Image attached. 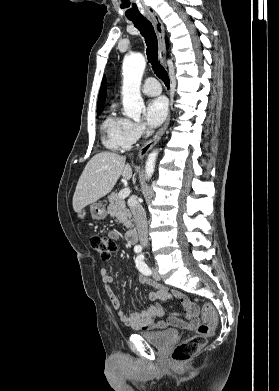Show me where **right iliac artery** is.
Segmentation results:
<instances>
[{
  "mask_svg": "<svg viewBox=\"0 0 279 391\" xmlns=\"http://www.w3.org/2000/svg\"><path fill=\"white\" fill-rule=\"evenodd\" d=\"M134 251H135L136 253H139V252H141V248H140V247H135V248H134Z\"/></svg>",
  "mask_w": 279,
  "mask_h": 391,
  "instance_id": "82829eb1",
  "label": "right iliac artery"
}]
</instances>
